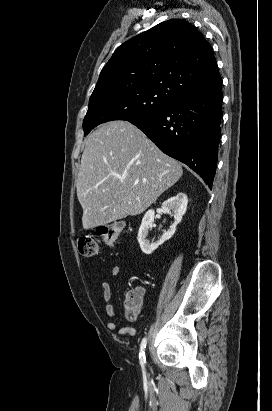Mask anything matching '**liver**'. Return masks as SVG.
<instances>
[{"instance_id": "liver-1", "label": "liver", "mask_w": 272, "mask_h": 411, "mask_svg": "<svg viewBox=\"0 0 272 411\" xmlns=\"http://www.w3.org/2000/svg\"><path fill=\"white\" fill-rule=\"evenodd\" d=\"M182 174L181 165L133 124H103L88 136L78 173L83 228L141 214Z\"/></svg>"}]
</instances>
